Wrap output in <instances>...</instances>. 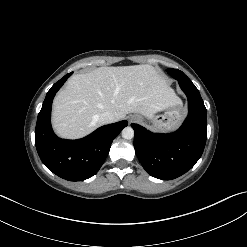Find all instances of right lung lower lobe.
I'll list each match as a JSON object with an SVG mask.
<instances>
[{"instance_id":"obj_1","label":"right lung lower lobe","mask_w":247,"mask_h":247,"mask_svg":"<svg viewBox=\"0 0 247 247\" xmlns=\"http://www.w3.org/2000/svg\"><path fill=\"white\" fill-rule=\"evenodd\" d=\"M65 75L48 91L35 129V145L40 159L54 174L69 181H81L95 175L104 163L111 143L127 121H120L98 128L79 140L58 138L51 128V106L56 92L70 77Z\"/></svg>"}]
</instances>
